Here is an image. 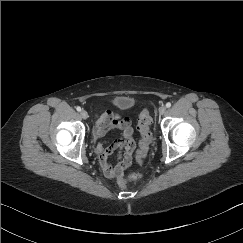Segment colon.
I'll list each match as a JSON object with an SVG mask.
<instances>
[{"instance_id": "1", "label": "colon", "mask_w": 243, "mask_h": 243, "mask_svg": "<svg viewBox=\"0 0 243 243\" xmlns=\"http://www.w3.org/2000/svg\"><path fill=\"white\" fill-rule=\"evenodd\" d=\"M151 116L150 113L147 109H144L140 116H139V120H138V124H137V129L141 135V139H140V150L137 154L138 158H142L148 151L151 143H152V133H151ZM142 177V172L141 171H135V172H131L127 175H123L122 177H120L117 180V185L119 187H126L128 184H130L131 182L137 181Z\"/></svg>"}]
</instances>
